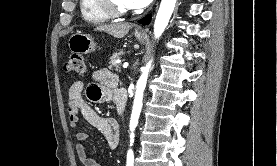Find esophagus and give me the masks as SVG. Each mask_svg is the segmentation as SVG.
Instances as JSON below:
<instances>
[{
	"label": "esophagus",
	"instance_id": "esophagus-1",
	"mask_svg": "<svg viewBox=\"0 0 277 166\" xmlns=\"http://www.w3.org/2000/svg\"><path fill=\"white\" fill-rule=\"evenodd\" d=\"M136 31L138 32V33H140V34H145V33H147V29L146 28H144V27H138L137 29H136Z\"/></svg>",
	"mask_w": 277,
	"mask_h": 166
}]
</instances>
